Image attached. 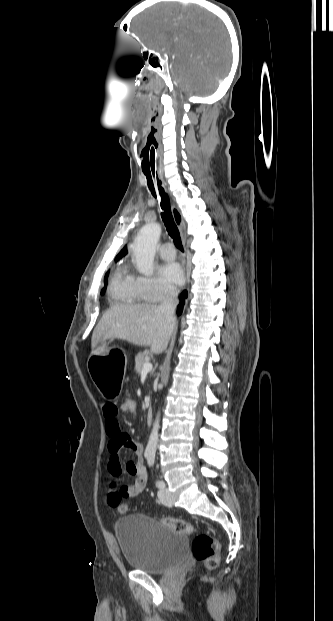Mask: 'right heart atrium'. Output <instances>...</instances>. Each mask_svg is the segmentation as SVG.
<instances>
[{
	"label": "right heart atrium",
	"instance_id": "obj_1",
	"mask_svg": "<svg viewBox=\"0 0 333 621\" xmlns=\"http://www.w3.org/2000/svg\"><path fill=\"white\" fill-rule=\"evenodd\" d=\"M137 289L143 300L156 303L172 298L176 291L153 276L135 277Z\"/></svg>",
	"mask_w": 333,
	"mask_h": 621
}]
</instances>
